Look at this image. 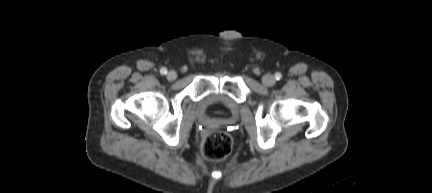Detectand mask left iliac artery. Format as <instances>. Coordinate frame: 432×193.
Masks as SVG:
<instances>
[{
  "instance_id": "left-iliac-artery-1",
  "label": "left iliac artery",
  "mask_w": 432,
  "mask_h": 193,
  "mask_svg": "<svg viewBox=\"0 0 432 193\" xmlns=\"http://www.w3.org/2000/svg\"><path fill=\"white\" fill-rule=\"evenodd\" d=\"M275 78H276L277 80H280V79L282 78L281 73H279V72L275 73Z\"/></svg>"
}]
</instances>
